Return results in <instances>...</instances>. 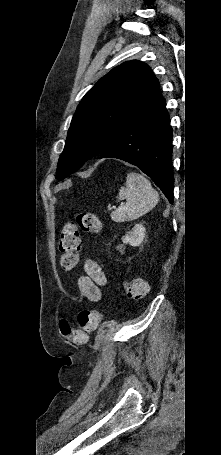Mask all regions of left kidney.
Listing matches in <instances>:
<instances>
[{
    "label": "left kidney",
    "instance_id": "left-kidney-1",
    "mask_svg": "<svg viewBox=\"0 0 221 455\" xmlns=\"http://www.w3.org/2000/svg\"><path fill=\"white\" fill-rule=\"evenodd\" d=\"M145 231L146 229L142 224H136L130 232L122 237V242L133 247L139 246L145 238Z\"/></svg>",
    "mask_w": 221,
    "mask_h": 455
}]
</instances>
